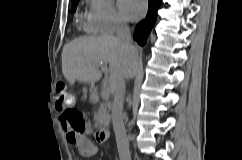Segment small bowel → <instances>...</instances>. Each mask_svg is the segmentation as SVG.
Listing matches in <instances>:
<instances>
[{
  "instance_id": "c3829d8e",
  "label": "small bowel",
  "mask_w": 242,
  "mask_h": 160,
  "mask_svg": "<svg viewBox=\"0 0 242 160\" xmlns=\"http://www.w3.org/2000/svg\"><path fill=\"white\" fill-rule=\"evenodd\" d=\"M60 120H61L62 131L65 133L66 141L70 145L76 146L81 155H84V156L92 155V152L95 150V146L84 134L85 131L88 132L90 130L89 124L87 123L85 125V128L82 132L77 133V132L71 131L68 123H66L62 118H60Z\"/></svg>"
}]
</instances>
